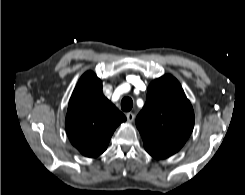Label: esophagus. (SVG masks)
<instances>
[{"mask_svg": "<svg viewBox=\"0 0 245 195\" xmlns=\"http://www.w3.org/2000/svg\"><path fill=\"white\" fill-rule=\"evenodd\" d=\"M126 117L129 122H132L135 118V115L132 112H129L126 114Z\"/></svg>", "mask_w": 245, "mask_h": 195, "instance_id": "1", "label": "esophagus"}]
</instances>
